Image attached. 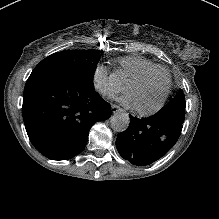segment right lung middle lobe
<instances>
[{
    "label": "right lung middle lobe",
    "mask_w": 219,
    "mask_h": 219,
    "mask_svg": "<svg viewBox=\"0 0 219 219\" xmlns=\"http://www.w3.org/2000/svg\"><path fill=\"white\" fill-rule=\"evenodd\" d=\"M100 50H74L54 53L42 60L31 75L41 73L58 66L68 67L76 71L82 78L92 81V72L96 68Z\"/></svg>",
    "instance_id": "1"
}]
</instances>
